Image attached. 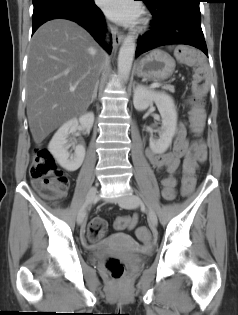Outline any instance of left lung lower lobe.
Wrapping results in <instances>:
<instances>
[{"instance_id":"obj_1","label":"left lung lower lobe","mask_w":238,"mask_h":315,"mask_svg":"<svg viewBox=\"0 0 238 315\" xmlns=\"http://www.w3.org/2000/svg\"><path fill=\"white\" fill-rule=\"evenodd\" d=\"M153 20L151 30L138 39L136 57L159 46L187 44L203 51L207 46L201 29V0H143Z\"/></svg>"}]
</instances>
